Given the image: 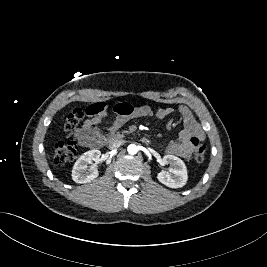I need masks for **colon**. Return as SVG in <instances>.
<instances>
[{
    "label": "colon",
    "mask_w": 267,
    "mask_h": 267,
    "mask_svg": "<svg viewBox=\"0 0 267 267\" xmlns=\"http://www.w3.org/2000/svg\"><path fill=\"white\" fill-rule=\"evenodd\" d=\"M93 112L89 107H76L62 116L63 130L67 135V139H59L55 144V163L63 166L77 157L78 142H77V126L86 115ZM206 145L203 141L196 140L194 142V159L197 162H202L205 158Z\"/></svg>",
    "instance_id": "obj_1"
}]
</instances>
